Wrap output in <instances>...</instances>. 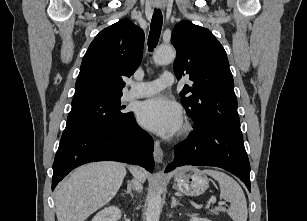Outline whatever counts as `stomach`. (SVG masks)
I'll use <instances>...</instances> for the list:
<instances>
[{
  "instance_id": "1",
  "label": "stomach",
  "mask_w": 307,
  "mask_h": 221,
  "mask_svg": "<svg viewBox=\"0 0 307 221\" xmlns=\"http://www.w3.org/2000/svg\"><path fill=\"white\" fill-rule=\"evenodd\" d=\"M175 187L188 196L203 194L209 187L206 174L196 167L185 166L180 168L174 176Z\"/></svg>"
}]
</instances>
